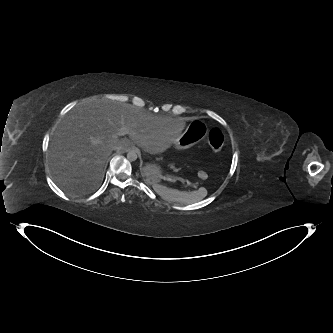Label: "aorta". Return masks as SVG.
I'll use <instances>...</instances> for the list:
<instances>
[{
	"instance_id": "obj_1",
	"label": "aorta",
	"mask_w": 333,
	"mask_h": 333,
	"mask_svg": "<svg viewBox=\"0 0 333 333\" xmlns=\"http://www.w3.org/2000/svg\"><path fill=\"white\" fill-rule=\"evenodd\" d=\"M137 158H138V155H137L136 151L131 150V151H129V152L127 153V159H128L129 161H131V162H132V161H136Z\"/></svg>"
}]
</instances>
